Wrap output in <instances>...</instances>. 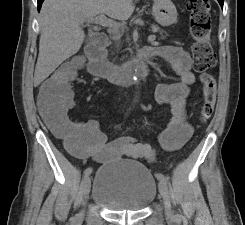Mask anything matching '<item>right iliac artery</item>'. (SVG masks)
<instances>
[{"label": "right iliac artery", "mask_w": 245, "mask_h": 225, "mask_svg": "<svg viewBox=\"0 0 245 225\" xmlns=\"http://www.w3.org/2000/svg\"><path fill=\"white\" fill-rule=\"evenodd\" d=\"M92 173V168H87L85 171H84V174H85V176H88V175H90Z\"/></svg>", "instance_id": "right-iliac-artery-1"}]
</instances>
